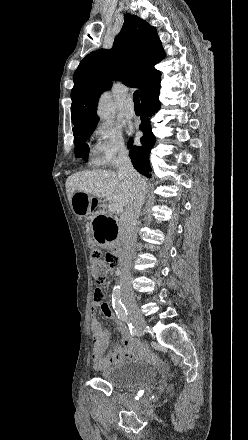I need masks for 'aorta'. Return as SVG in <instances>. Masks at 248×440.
<instances>
[{
    "mask_svg": "<svg viewBox=\"0 0 248 440\" xmlns=\"http://www.w3.org/2000/svg\"><path fill=\"white\" fill-rule=\"evenodd\" d=\"M98 115L100 116L101 120H103L106 123H111L113 120V110L111 106V100L107 94H104L100 99L99 107H98Z\"/></svg>",
    "mask_w": 248,
    "mask_h": 440,
    "instance_id": "obj_1",
    "label": "aorta"
}]
</instances>
